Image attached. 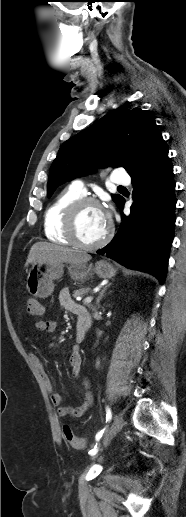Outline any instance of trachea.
Listing matches in <instances>:
<instances>
[{"label":"trachea","mask_w":186,"mask_h":517,"mask_svg":"<svg viewBox=\"0 0 186 517\" xmlns=\"http://www.w3.org/2000/svg\"><path fill=\"white\" fill-rule=\"evenodd\" d=\"M118 188H125V187H123V186H118Z\"/></svg>","instance_id":"1"}]
</instances>
